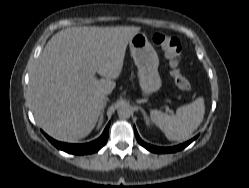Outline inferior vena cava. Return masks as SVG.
<instances>
[{
  "label": "inferior vena cava",
  "mask_w": 249,
  "mask_h": 188,
  "mask_svg": "<svg viewBox=\"0 0 249 188\" xmlns=\"http://www.w3.org/2000/svg\"><path fill=\"white\" fill-rule=\"evenodd\" d=\"M103 100H104V101H107V100H108V98H107L106 96H104V97H103Z\"/></svg>",
  "instance_id": "obj_1"
}]
</instances>
